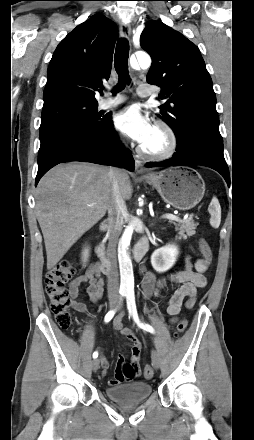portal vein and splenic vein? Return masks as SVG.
Segmentation results:
<instances>
[{
  "mask_svg": "<svg viewBox=\"0 0 254 440\" xmlns=\"http://www.w3.org/2000/svg\"><path fill=\"white\" fill-rule=\"evenodd\" d=\"M88 206H89V207H93L94 204H90V205H88ZM162 218H163V219H168V220H171V221L182 222V219H181L180 217H178V216H176V215H174V214H171V213H167V214L163 215ZM190 219H191V217L185 219L184 221H189Z\"/></svg>",
  "mask_w": 254,
  "mask_h": 440,
  "instance_id": "obj_1",
  "label": "portal vein and splenic vein"
}]
</instances>
